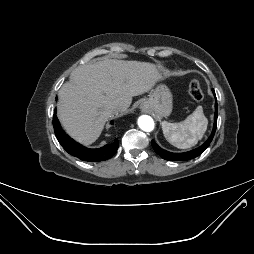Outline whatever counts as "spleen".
<instances>
[{"label": "spleen", "mask_w": 254, "mask_h": 254, "mask_svg": "<svg viewBox=\"0 0 254 254\" xmlns=\"http://www.w3.org/2000/svg\"><path fill=\"white\" fill-rule=\"evenodd\" d=\"M208 120L203 114L202 106H198L184 121L179 123L162 122V130L166 140L179 149H188L203 138L207 130Z\"/></svg>", "instance_id": "obj_1"}]
</instances>
